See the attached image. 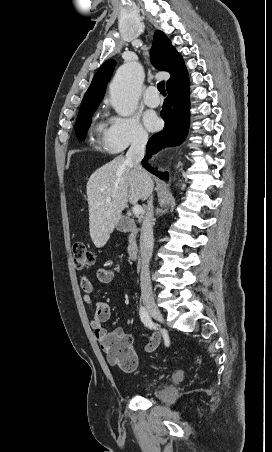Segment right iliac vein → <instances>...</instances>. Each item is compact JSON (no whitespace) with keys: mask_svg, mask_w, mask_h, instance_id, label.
I'll return each instance as SVG.
<instances>
[{"mask_svg":"<svg viewBox=\"0 0 272 452\" xmlns=\"http://www.w3.org/2000/svg\"><path fill=\"white\" fill-rule=\"evenodd\" d=\"M145 306L155 320L164 323L163 315L153 301H145Z\"/></svg>","mask_w":272,"mask_h":452,"instance_id":"right-iliac-vein-1","label":"right iliac vein"}]
</instances>
